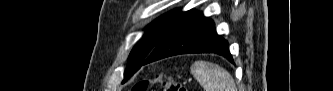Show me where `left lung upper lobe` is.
<instances>
[{
  "label": "left lung upper lobe",
  "instance_id": "5c2ea615",
  "mask_svg": "<svg viewBox=\"0 0 333 91\" xmlns=\"http://www.w3.org/2000/svg\"><path fill=\"white\" fill-rule=\"evenodd\" d=\"M185 13L186 12H181L180 10L171 11L161 16L148 27L142 41L132 49L129 55V64L124 73L123 82L127 81L142 66L144 60L148 57L166 32Z\"/></svg>",
  "mask_w": 333,
  "mask_h": 91
}]
</instances>
